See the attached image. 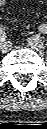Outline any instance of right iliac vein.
<instances>
[{
    "mask_svg": "<svg viewBox=\"0 0 47 129\" xmlns=\"http://www.w3.org/2000/svg\"><path fill=\"white\" fill-rule=\"evenodd\" d=\"M0 48L3 52H7V51L11 50L12 43L10 41H4L1 43Z\"/></svg>",
    "mask_w": 47,
    "mask_h": 129,
    "instance_id": "1",
    "label": "right iliac vein"
}]
</instances>
